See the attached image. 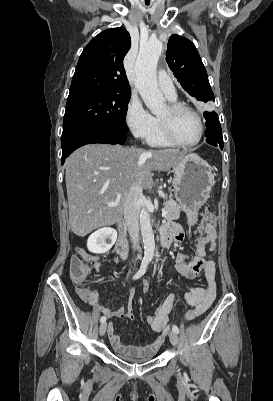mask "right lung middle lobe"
<instances>
[{
    "label": "right lung middle lobe",
    "mask_w": 273,
    "mask_h": 401,
    "mask_svg": "<svg viewBox=\"0 0 273 401\" xmlns=\"http://www.w3.org/2000/svg\"><path fill=\"white\" fill-rule=\"evenodd\" d=\"M131 94L87 92L68 96L63 130L91 126L128 133L126 112Z\"/></svg>",
    "instance_id": "obj_1"
}]
</instances>
